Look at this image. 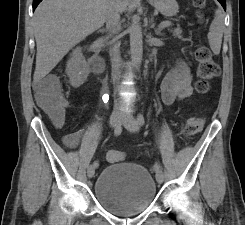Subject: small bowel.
I'll use <instances>...</instances> for the list:
<instances>
[{"label":"small bowel","mask_w":245,"mask_h":225,"mask_svg":"<svg viewBox=\"0 0 245 225\" xmlns=\"http://www.w3.org/2000/svg\"><path fill=\"white\" fill-rule=\"evenodd\" d=\"M52 74L46 76L38 83L40 86L45 79H53ZM192 75L188 63L185 60L179 62L164 78L161 84V97L166 105L174 103L177 99H185L192 94ZM85 141L79 132H71L67 135L66 145L76 149ZM124 158V154L118 150H111L107 154L109 163H118Z\"/></svg>","instance_id":"obj_1"}]
</instances>
